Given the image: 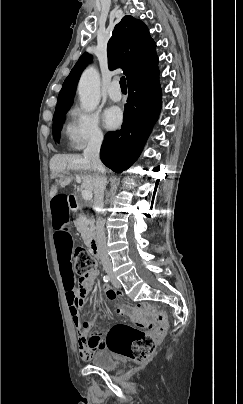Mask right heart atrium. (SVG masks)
<instances>
[{
	"label": "right heart atrium",
	"mask_w": 243,
	"mask_h": 404,
	"mask_svg": "<svg viewBox=\"0 0 243 404\" xmlns=\"http://www.w3.org/2000/svg\"><path fill=\"white\" fill-rule=\"evenodd\" d=\"M65 135L69 149L75 152L98 146L104 139L98 114L82 110L79 106H73L68 112Z\"/></svg>",
	"instance_id": "d8ad5b80"
}]
</instances>
